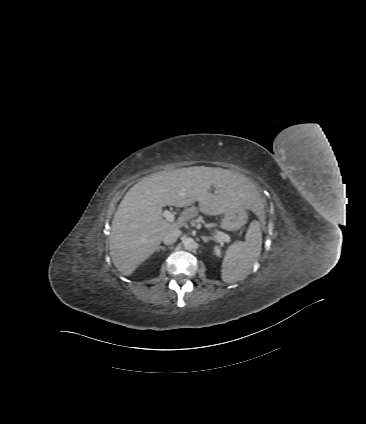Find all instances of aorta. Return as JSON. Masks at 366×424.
Segmentation results:
<instances>
[{"label":"aorta","mask_w":366,"mask_h":424,"mask_svg":"<svg viewBox=\"0 0 366 424\" xmlns=\"http://www.w3.org/2000/svg\"><path fill=\"white\" fill-rule=\"evenodd\" d=\"M183 245L186 250H193L196 248V242L191 237L184 238Z\"/></svg>","instance_id":"aorta-1"}]
</instances>
